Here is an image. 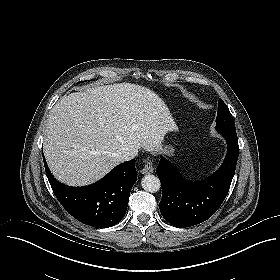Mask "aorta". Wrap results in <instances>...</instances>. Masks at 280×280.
<instances>
[{
    "instance_id": "aorta-1",
    "label": "aorta",
    "mask_w": 280,
    "mask_h": 280,
    "mask_svg": "<svg viewBox=\"0 0 280 280\" xmlns=\"http://www.w3.org/2000/svg\"><path fill=\"white\" fill-rule=\"evenodd\" d=\"M141 186L145 191L155 193L159 191L161 183L157 176L146 175L141 180Z\"/></svg>"
}]
</instances>
